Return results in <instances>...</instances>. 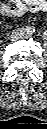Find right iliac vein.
<instances>
[{
  "instance_id": "63e3f726",
  "label": "right iliac vein",
  "mask_w": 47,
  "mask_h": 129,
  "mask_svg": "<svg viewBox=\"0 0 47 129\" xmlns=\"http://www.w3.org/2000/svg\"><path fill=\"white\" fill-rule=\"evenodd\" d=\"M23 35V31L22 30H15L13 31L11 38L12 39H17L19 37H21Z\"/></svg>"
}]
</instances>
